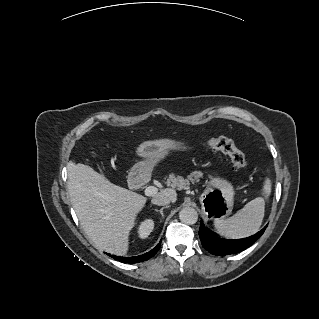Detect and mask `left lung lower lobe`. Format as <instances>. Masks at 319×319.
<instances>
[{
	"mask_svg": "<svg viewBox=\"0 0 319 319\" xmlns=\"http://www.w3.org/2000/svg\"><path fill=\"white\" fill-rule=\"evenodd\" d=\"M265 226L261 231L256 234L243 238V239H222L212 235L205 230L203 222L201 221L199 228V237L203 247L214 255H227L240 252L251 246L265 231Z\"/></svg>",
	"mask_w": 319,
	"mask_h": 319,
	"instance_id": "obj_1",
	"label": "left lung lower lobe"
}]
</instances>
